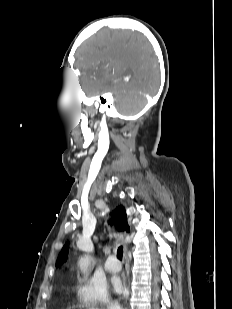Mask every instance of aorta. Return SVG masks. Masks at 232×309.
Listing matches in <instances>:
<instances>
[{"instance_id":"762f6f07","label":"aorta","mask_w":232,"mask_h":309,"mask_svg":"<svg viewBox=\"0 0 232 309\" xmlns=\"http://www.w3.org/2000/svg\"><path fill=\"white\" fill-rule=\"evenodd\" d=\"M89 264H90V257L88 255H84L79 260V265L81 267V270L84 271V272L87 270Z\"/></svg>"}]
</instances>
